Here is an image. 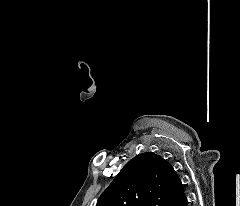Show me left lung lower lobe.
Listing matches in <instances>:
<instances>
[{
    "mask_svg": "<svg viewBox=\"0 0 240 206\" xmlns=\"http://www.w3.org/2000/svg\"><path fill=\"white\" fill-rule=\"evenodd\" d=\"M188 205H189V202H188L187 194L185 191V187L181 182V186L178 192L175 194V196L170 201L168 206H188Z\"/></svg>",
    "mask_w": 240,
    "mask_h": 206,
    "instance_id": "0a47b994",
    "label": "left lung lower lobe"
}]
</instances>
